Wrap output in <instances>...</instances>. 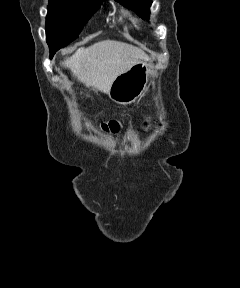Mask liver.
<instances>
[{
    "mask_svg": "<svg viewBox=\"0 0 240 288\" xmlns=\"http://www.w3.org/2000/svg\"><path fill=\"white\" fill-rule=\"evenodd\" d=\"M149 57L130 44L104 40L78 49L61 65L71 70L78 81L93 90L109 94L113 81L134 64Z\"/></svg>",
    "mask_w": 240,
    "mask_h": 288,
    "instance_id": "liver-1",
    "label": "liver"
}]
</instances>
